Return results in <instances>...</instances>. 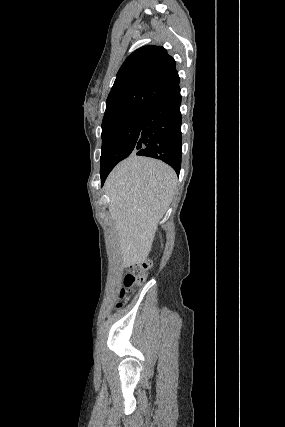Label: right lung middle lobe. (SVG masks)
Masks as SVG:
<instances>
[{
  "instance_id": "right-lung-middle-lobe-1",
  "label": "right lung middle lobe",
  "mask_w": 285,
  "mask_h": 427,
  "mask_svg": "<svg viewBox=\"0 0 285 427\" xmlns=\"http://www.w3.org/2000/svg\"><path fill=\"white\" fill-rule=\"evenodd\" d=\"M146 110L127 114L102 124L101 172L111 171L134 152Z\"/></svg>"
}]
</instances>
